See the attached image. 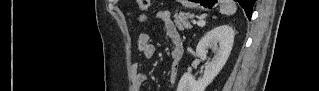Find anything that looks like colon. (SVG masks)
Wrapping results in <instances>:
<instances>
[{
    "label": "colon",
    "instance_id": "obj_1",
    "mask_svg": "<svg viewBox=\"0 0 319 91\" xmlns=\"http://www.w3.org/2000/svg\"><path fill=\"white\" fill-rule=\"evenodd\" d=\"M138 3H139V8L142 11L148 10L150 8V6H151V1L150 0H139Z\"/></svg>",
    "mask_w": 319,
    "mask_h": 91
}]
</instances>
